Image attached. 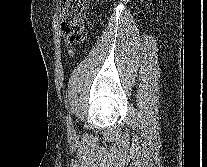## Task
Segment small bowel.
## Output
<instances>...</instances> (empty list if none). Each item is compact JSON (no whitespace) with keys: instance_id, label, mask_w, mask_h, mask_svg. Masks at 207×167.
Segmentation results:
<instances>
[{"instance_id":"c3829d8e","label":"small bowel","mask_w":207,"mask_h":167,"mask_svg":"<svg viewBox=\"0 0 207 167\" xmlns=\"http://www.w3.org/2000/svg\"><path fill=\"white\" fill-rule=\"evenodd\" d=\"M70 53H73V51H72V50H70Z\"/></svg>"}]
</instances>
